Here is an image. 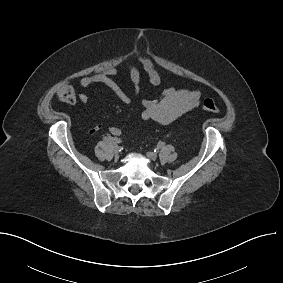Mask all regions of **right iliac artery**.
<instances>
[{
	"label": "right iliac artery",
	"mask_w": 283,
	"mask_h": 283,
	"mask_svg": "<svg viewBox=\"0 0 283 283\" xmlns=\"http://www.w3.org/2000/svg\"><path fill=\"white\" fill-rule=\"evenodd\" d=\"M105 140L109 143H112V144H119L122 142L121 139H118L116 137H105Z\"/></svg>",
	"instance_id": "obj_1"
}]
</instances>
